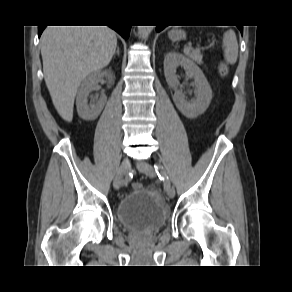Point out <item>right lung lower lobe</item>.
Segmentation results:
<instances>
[{
    "mask_svg": "<svg viewBox=\"0 0 292 292\" xmlns=\"http://www.w3.org/2000/svg\"><path fill=\"white\" fill-rule=\"evenodd\" d=\"M46 26H38V36L42 34L43 30L45 29ZM112 29L117 31L123 38L128 39L129 33H130V25H122V24H114V25H109Z\"/></svg>",
    "mask_w": 292,
    "mask_h": 292,
    "instance_id": "1",
    "label": "right lung lower lobe"
}]
</instances>
